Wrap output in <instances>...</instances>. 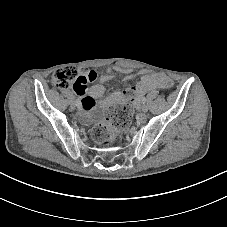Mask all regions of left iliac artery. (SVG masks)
I'll list each match as a JSON object with an SVG mask.
<instances>
[{"label":"left iliac artery","mask_w":227,"mask_h":227,"mask_svg":"<svg viewBox=\"0 0 227 227\" xmlns=\"http://www.w3.org/2000/svg\"><path fill=\"white\" fill-rule=\"evenodd\" d=\"M141 101L142 103H146L147 99L145 97H142Z\"/></svg>","instance_id":"1"}]
</instances>
